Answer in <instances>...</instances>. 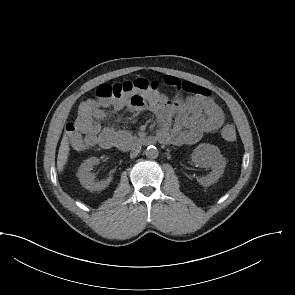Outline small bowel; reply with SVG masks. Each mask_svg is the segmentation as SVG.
<instances>
[{"mask_svg":"<svg viewBox=\"0 0 295 295\" xmlns=\"http://www.w3.org/2000/svg\"><path fill=\"white\" fill-rule=\"evenodd\" d=\"M178 94L173 100L158 89L145 93H132L111 102L97 105L89 116L78 117L68 123L66 133L71 146L77 151L100 146L108 149L126 132L112 126L102 128L101 122L123 109L131 112L148 110L158 122L156 135L163 136L174 145H191L204 134L218 130L224 123V114L205 88L191 82H182L174 76L163 79ZM110 106L107 111L105 107Z\"/></svg>","mask_w":295,"mask_h":295,"instance_id":"small-bowel-1","label":"small bowel"}]
</instances>
